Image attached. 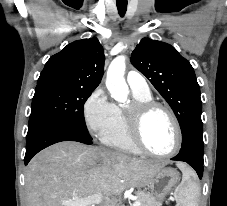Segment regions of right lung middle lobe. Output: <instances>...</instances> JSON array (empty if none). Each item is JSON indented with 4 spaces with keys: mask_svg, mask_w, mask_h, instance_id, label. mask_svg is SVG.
<instances>
[{
    "mask_svg": "<svg viewBox=\"0 0 227 206\" xmlns=\"http://www.w3.org/2000/svg\"><path fill=\"white\" fill-rule=\"evenodd\" d=\"M92 91L59 84H37L32 99L28 132L41 125L55 123L74 127L88 135L82 115L83 105Z\"/></svg>",
    "mask_w": 227,
    "mask_h": 206,
    "instance_id": "right-lung-middle-lobe-1",
    "label": "right lung middle lobe"
}]
</instances>
